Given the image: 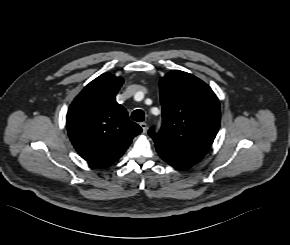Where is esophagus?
<instances>
[{
    "mask_svg": "<svg viewBox=\"0 0 290 245\" xmlns=\"http://www.w3.org/2000/svg\"><path fill=\"white\" fill-rule=\"evenodd\" d=\"M140 126H141V128H142V130H143V133H146L147 130H148V125H147V123H145V122H141V123H140Z\"/></svg>",
    "mask_w": 290,
    "mask_h": 245,
    "instance_id": "1",
    "label": "esophagus"
}]
</instances>
